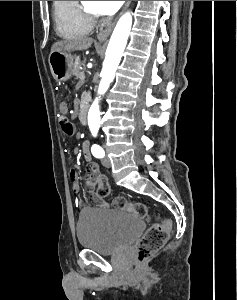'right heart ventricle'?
<instances>
[{"label":"right heart ventricle","mask_w":237,"mask_h":300,"mask_svg":"<svg viewBox=\"0 0 237 300\" xmlns=\"http://www.w3.org/2000/svg\"><path fill=\"white\" fill-rule=\"evenodd\" d=\"M53 15L62 37L83 36L92 30L93 22L84 15L79 1H53Z\"/></svg>","instance_id":"e07e8e85"}]
</instances>
